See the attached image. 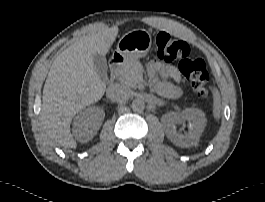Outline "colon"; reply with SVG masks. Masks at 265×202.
Returning <instances> with one entry per match:
<instances>
[{
	"label": "colon",
	"instance_id": "colon-1",
	"mask_svg": "<svg viewBox=\"0 0 265 202\" xmlns=\"http://www.w3.org/2000/svg\"><path fill=\"white\" fill-rule=\"evenodd\" d=\"M156 57L161 62L180 60L179 71L192 89L201 97L208 94L209 74L202 59L190 57L187 42L160 32L155 37Z\"/></svg>",
	"mask_w": 265,
	"mask_h": 202
}]
</instances>
